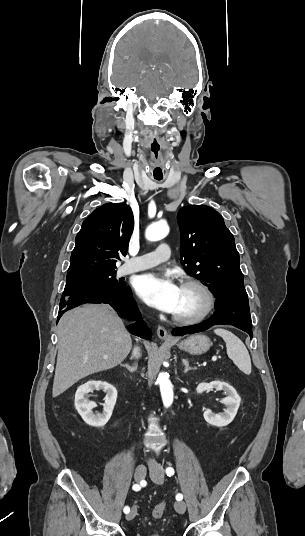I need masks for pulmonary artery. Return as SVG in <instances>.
I'll return each instance as SVG.
<instances>
[{
    "instance_id": "pulmonary-artery-1",
    "label": "pulmonary artery",
    "mask_w": 305,
    "mask_h": 536,
    "mask_svg": "<svg viewBox=\"0 0 305 536\" xmlns=\"http://www.w3.org/2000/svg\"><path fill=\"white\" fill-rule=\"evenodd\" d=\"M171 248L166 241L160 242L155 250L142 254L133 255L132 262L126 264L122 268L124 274L143 271L152 268L169 259Z\"/></svg>"
}]
</instances>
